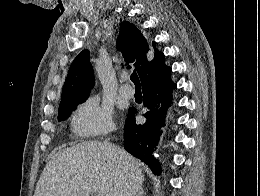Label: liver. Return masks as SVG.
<instances>
[{
	"label": "liver",
	"instance_id": "6515ba94",
	"mask_svg": "<svg viewBox=\"0 0 260 196\" xmlns=\"http://www.w3.org/2000/svg\"><path fill=\"white\" fill-rule=\"evenodd\" d=\"M139 160L119 146L83 142L54 154L46 164L34 196H132L143 194Z\"/></svg>",
	"mask_w": 260,
	"mask_h": 196
}]
</instances>
